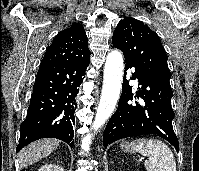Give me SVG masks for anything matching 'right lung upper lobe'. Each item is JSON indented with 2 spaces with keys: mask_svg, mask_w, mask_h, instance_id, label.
Listing matches in <instances>:
<instances>
[{
  "mask_svg": "<svg viewBox=\"0 0 199 171\" xmlns=\"http://www.w3.org/2000/svg\"><path fill=\"white\" fill-rule=\"evenodd\" d=\"M89 57L88 38L84 28L81 24L74 23L53 39L41 63L79 62Z\"/></svg>",
  "mask_w": 199,
  "mask_h": 171,
  "instance_id": "1",
  "label": "right lung upper lobe"
}]
</instances>
